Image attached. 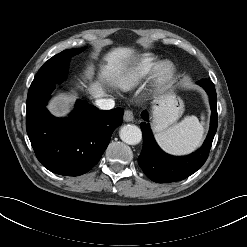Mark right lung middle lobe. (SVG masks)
Here are the masks:
<instances>
[{
	"mask_svg": "<svg viewBox=\"0 0 247 247\" xmlns=\"http://www.w3.org/2000/svg\"><path fill=\"white\" fill-rule=\"evenodd\" d=\"M83 49H69L50 58L35 75L31 86L43 88L51 83H62L67 74L69 60Z\"/></svg>",
	"mask_w": 247,
	"mask_h": 247,
	"instance_id": "right-lung-middle-lobe-1",
	"label": "right lung middle lobe"
}]
</instances>
